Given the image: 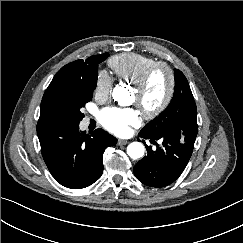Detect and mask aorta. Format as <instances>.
<instances>
[{
	"label": "aorta",
	"mask_w": 243,
	"mask_h": 243,
	"mask_svg": "<svg viewBox=\"0 0 243 243\" xmlns=\"http://www.w3.org/2000/svg\"><path fill=\"white\" fill-rule=\"evenodd\" d=\"M112 97L115 101L125 103L129 98V92L123 87H115L113 89ZM145 148L140 142H132L127 147V154L132 159L141 158L144 155Z\"/></svg>",
	"instance_id": "762f6f07"
}]
</instances>
